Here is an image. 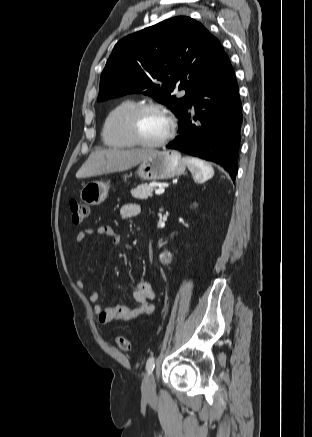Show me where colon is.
Segmentation results:
<instances>
[{"label":"colon","mask_w":312,"mask_h":437,"mask_svg":"<svg viewBox=\"0 0 312 437\" xmlns=\"http://www.w3.org/2000/svg\"><path fill=\"white\" fill-rule=\"evenodd\" d=\"M69 207L71 212V220L74 224H80L88 215V206L78 202L77 200H70ZM117 344L122 351H130L132 349V343L126 337H118Z\"/></svg>","instance_id":"obj_1"}]
</instances>
